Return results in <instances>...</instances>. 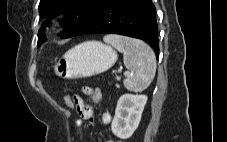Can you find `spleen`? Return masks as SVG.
<instances>
[{"label": "spleen", "mask_w": 227, "mask_h": 142, "mask_svg": "<svg viewBox=\"0 0 227 142\" xmlns=\"http://www.w3.org/2000/svg\"><path fill=\"white\" fill-rule=\"evenodd\" d=\"M123 53V61L128 74L123 81L126 89L134 92L145 90L156 73V58L153 50L141 40L109 34L103 38Z\"/></svg>", "instance_id": "1"}]
</instances>
